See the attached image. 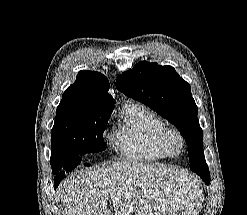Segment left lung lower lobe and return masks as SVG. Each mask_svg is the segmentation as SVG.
Instances as JSON below:
<instances>
[{
    "instance_id": "left-lung-lower-lobe-1",
    "label": "left lung lower lobe",
    "mask_w": 247,
    "mask_h": 215,
    "mask_svg": "<svg viewBox=\"0 0 247 215\" xmlns=\"http://www.w3.org/2000/svg\"><path fill=\"white\" fill-rule=\"evenodd\" d=\"M192 171L195 172L197 175H199L203 179V181L207 185H209V183H210V173H209L208 166H207L206 162L201 164L200 167H197Z\"/></svg>"
}]
</instances>
